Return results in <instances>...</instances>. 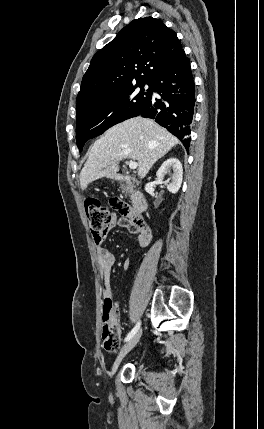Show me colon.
I'll return each mask as SVG.
<instances>
[{
    "instance_id": "colon-1",
    "label": "colon",
    "mask_w": 264,
    "mask_h": 429,
    "mask_svg": "<svg viewBox=\"0 0 264 429\" xmlns=\"http://www.w3.org/2000/svg\"><path fill=\"white\" fill-rule=\"evenodd\" d=\"M87 220L93 238L100 239L106 230L112 213L110 208L99 199L90 197L84 203ZM110 206L122 215L129 216V206L121 200H113ZM121 332L118 315L112 300L106 299L102 315V340L106 350L116 351L120 346Z\"/></svg>"
}]
</instances>
